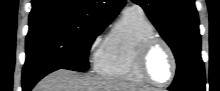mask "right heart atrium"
Wrapping results in <instances>:
<instances>
[{
	"mask_svg": "<svg viewBox=\"0 0 220 91\" xmlns=\"http://www.w3.org/2000/svg\"><path fill=\"white\" fill-rule=\"evenodd\" d=\"M101 40V35H97L90 44V49H94L98 46L99 42Z\"/></svg>",
	"mask_w": 220,
	"mask_h": 91,
	"instance_id": "obj_1",
	"label": "right heart atrium"
}]
</instances>
